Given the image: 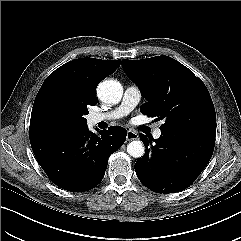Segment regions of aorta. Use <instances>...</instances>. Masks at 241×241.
Listing matches in <instances>:
<instances>
[{
  "instance_id": "obj_1",
  "label": "aorta",
  "mask_w": 241,
  "mask_h": 241,
  "mask_svg": "<svg viewBox=\"0 0 241 241\" xmlns=\"http://www.w3.org/2000/svg\"><path fill=\"white\" fill-rule=\"evenodd\" d=\"M123 88L121 84L115 80H106L99 84L98 95L105 103L116 104L121 100ZM127 152L134 158L142 157L145 148L140 140H134L127 145Z\"/></svg>"
}]
</instances>
